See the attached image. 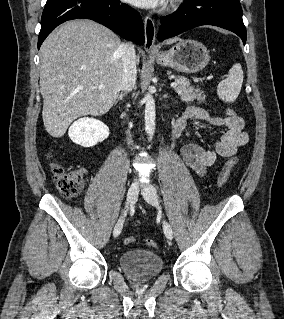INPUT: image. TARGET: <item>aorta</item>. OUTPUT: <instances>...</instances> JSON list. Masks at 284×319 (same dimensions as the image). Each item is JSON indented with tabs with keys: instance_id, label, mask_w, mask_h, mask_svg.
Returning <instances> with one entry per match:
<instances>
[{
	"instance_id": "aorta-1",
	"label": "aorta",
	"mask_w": 284,
	"mask_h": 319,
	"mask_svg": "<svg viewBox=\"0 0 284 319\" xmlns=\"http://www.w3.org/2000/svg\"><path fill=\"white\" fill-rule=\"evenodd\" d=\"M145 130L151 137L155 131L156 106L152 92L149 91L145 95Z\"/></svg>"
}]
</instances>
